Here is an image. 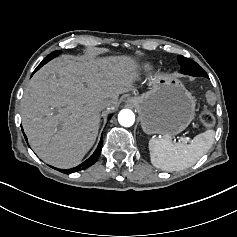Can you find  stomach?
I'll use <instances>...</instances> for the list:
<instances>
[{"instance_id":"obj_1","label":"stomach","mask_w":237,"mask_h":237,"mask_svg":"<svg viewBox=\"0 0 237 237\" xmlns=\"http://www.w3.org/2000/svg\"><path fill=\"white\" fill-rule=\"evenodd\" d=\"M128 101L139 114L142 131L149 135H178L195 117V97L173 76L156 75L149 91Z\"/></svg>"}]
</instances>
